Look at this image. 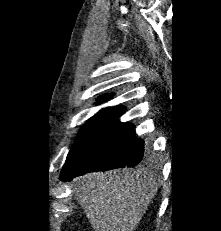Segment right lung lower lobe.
<instances>
[{
	"label": "right lung lower lobe",
	"instance_id": "right-lung-lower-lobe-1",
	"mask_svg": "<svg viewBox=\"0 0 221 231\" xmlns=\"http://www.w3.org/2000/svg\"><path fill=\"white\" fill-rule=\"evenodd\" d=\"M120 116L72 164L63 167L61 180L68 181L88 172L134 167L147 158L149 150L145 153L144 142L136 137L134 125L121 123Z\"/></svg>",
	"mask_w": 221,
	"mask_h": 231
}]
</instances>
